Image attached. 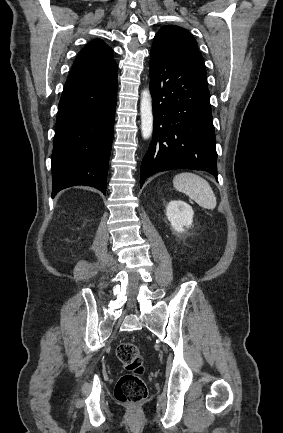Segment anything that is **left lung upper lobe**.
<instances>
[{
	"label": "left lung upper lobe",
	"instance_id": "5c2ea615",
	"mask_svg": "<svg viewBox=\"0 0 283 433\" xmlns=\"http://www.w3.org/2000/svg\"><path fill=\"white\" fill-rule=\"evenodd\" d=\"M151 51L195 65L202 72H206L195 39L179 26L162 27L154 37Z\"/></svg>",
	"mask_w": 283,
	"mask_h": 433
}]
</instances>
